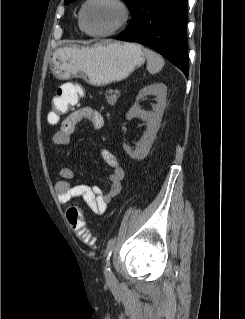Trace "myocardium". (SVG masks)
Listing matches in <instances>:
<instances>
[{
  "mask_svg": "<svg viewBox=\"0 0 245 319\" xmlns=\"http://www.w3.org/2000/svg\"><path fill=\"white\" fill-rule=\"evenodd\" d=\"M95 2H106V3H109V4L116 6L120 10L121 18H120L119 22L114 27H112L111 29H109L107 31H102V32H90L85 27L84 17H85L86 10H87L89 5H91L92 3H95ZM130 16H131L130 7L128 6V4L124 0H86L83 3L81 10H80L79 24H80L81 29L87 35H89L91 37H96V38H105V37L112 36L115 33H117L119 30H121L128 23Z\"/></svg>",
  "mask_w": 245,
  "mask_h": 319,
  "instance_id": "1",
  "label": "myocardium"
}]
</instances>
